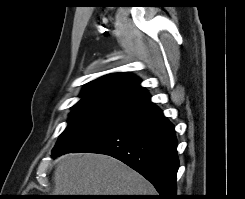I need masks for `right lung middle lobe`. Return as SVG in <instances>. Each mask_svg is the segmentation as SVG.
<instances>
[{
    "instance_id": "obj_1",
    "label": "right lung middle lobe",
    "mask_w": 245,
    "mask_h": 199,
    "mask_svg": "<svg viewBox=\"0 0 245 199\" xmlns=\"http://www.w3.org/2000/svg\"><path fill=\"white\" fill-rule=\"evenodd\" d=\"M126 117L98 108H73L68 125L52 150V156L75 151L107 133Z\"/></svg>"
}]
</instances>
